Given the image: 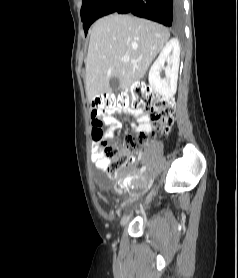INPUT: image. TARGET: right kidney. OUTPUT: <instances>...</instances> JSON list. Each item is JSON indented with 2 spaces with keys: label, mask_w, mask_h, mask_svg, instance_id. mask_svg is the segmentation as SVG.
Listing matches in <instances>:
<instances>
[{
  "label": "right kidney",
  "mask_w": 238,
  "mask_h": 278,
  "mask_svg": "<svg viewBox=\"0 0 238 278\" xmlns=\"http://www.w3.org/2000/svg\"><path fill=\"white\" fill-rule=\"evenodd\" d=\"M165 62L168 63L164 67ZM180 62V44L177 39H171L149 71V84L160 95L170 98L177 89L178 70ZM161 70L165 71L166 78L160 77Z\"/></svg>",
  "instance_id": "obj_1"
}]
</instances>
